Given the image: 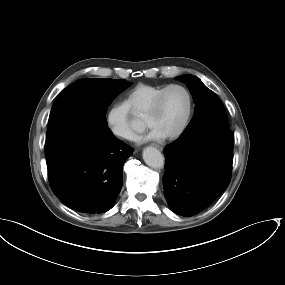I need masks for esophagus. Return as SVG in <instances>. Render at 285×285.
<instances>
[{"mask_svg":"<svg viewBox=\"0 0 285 285\" xmlns=\"http://www.w3.org/2000/svg\"><path fill=\"white\" fill-rule=\"evenodd\" d=\"M153 146H154V147H156L157 149H159L160 151H162V150H163V147H162V146H160V145H158V144H153Z\"/></svg>","mask_w":285,"mask_h":285,"instance_id":"esophagus-1","label":"esophagus"}]
</instances>
